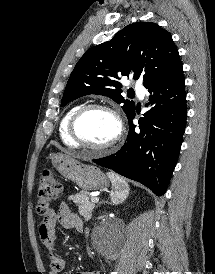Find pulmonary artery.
<instances>
[{
  "instance_id": "pulmonary-artery-1",
  "label": "pulmonary artery",
  "mask_w": 215,
  "mask_h": 274,
  "mask_svg": "<svg viewBox=\"0 0 215 274\" xmlns=\"http://www.w3.org/2000/svg\"><path fill=\"white\" fill-rule=\"evenodd\" d=\"M135 90H136V92L139 94V96H141V97L144 96V94H145V89H144V87H143L142 85L136 84Z\"/></svg>"
}]
</instances>
